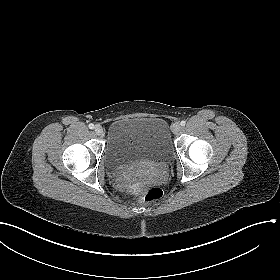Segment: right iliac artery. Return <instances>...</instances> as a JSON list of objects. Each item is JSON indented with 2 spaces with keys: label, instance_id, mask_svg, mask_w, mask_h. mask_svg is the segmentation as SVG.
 Here are the masks:
<instances>
[{
  "label": "right iliac artery",
  "instance_id": "obj_1",
  "mask_svg": "<svg viewBox=\"0 0 280 280\" xmlns=\"http://www.w3.org/2000/svg\"><path fill=\"white\" fill-rule=\"evenodd\" d=\"M89 128H90V129H94V124L90 123V124H89Z\"/></svg>",
  "mask_w": 280,
  "mask_h": 280
}]
</instances>
